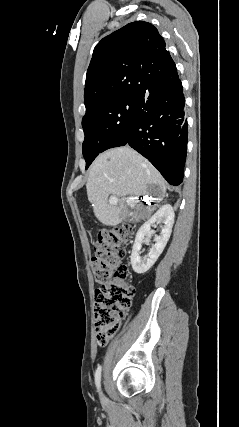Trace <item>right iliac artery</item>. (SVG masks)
<instances>
[{"mask_svg": "<svg viewBox=\"0 0 239 427\" xmlns=\"http://www.w3.org/2000/svg\"><path fill=\"white\" fill-rule=\"evenodd\" d=\"M100 381H101V366H98L96 372H95V383L98 388L100 389Z\"/></svg>", "mask_w": 239, "mask_h": 427, "instance_id": "82829eb1", "label": "right iliac artery"}]
</instances>
